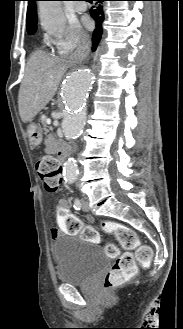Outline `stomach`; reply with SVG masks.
<instances>
[{
	"label": "stomach",
	"mask_w": 183,
	"mask_h": 329,
	"mask_svg": "<svg viewBox=\"0 0 183 329\" xmlns=\"http://www.w3.org/2000/svg\"><path fill=\"white\" fill-rule=\"evenodd\" d=\"M27 135L32 146H38L42 142L43 131L41 127L35 122L30 121L28 124Z\"/></svg>",
	"instance_id": "obj_1"
}]
</instances>
